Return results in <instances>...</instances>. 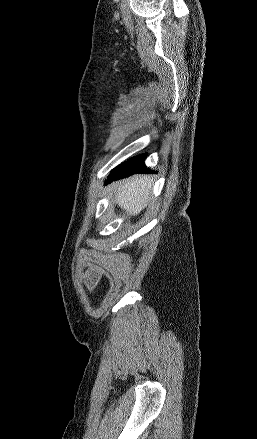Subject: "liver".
<instances>
[{
  "instance_id": "1",
  "label": "liver",
  "mask_w": 257,
  "mask_h": 439,
  "mask_svg": "<svg viewBox=\"0 0 257 439\" xmlns=\"http://www.w3.org/2000/svg\"><path fill=\"white\" fill-rule=\"evenodd\" d=\"M152 180L147 175H136L116 183L114 199L127 213L137 215L150 200Z\"/></svg>"
}]
</instances>
